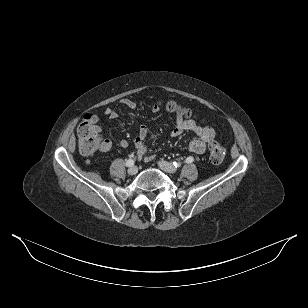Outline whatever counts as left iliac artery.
Returning a JSON list of instances; mask_svg holds the SVG:
<instances>
[{
	"mask_svg": "<svg viewBox=\"0 0 308 308\" xmlns=\"http://www.w3.org/2000/svg\"><path fill=\"white\" fill-rule=\"evenodd\" d=\"M194 161V158L193 157H188L186 160H185V162L186 163H192ZM173 165L175 166V167H180L181 166V163H179V162H173Z\"/></svg>",
	"mask_w": 308,
	"mask_h": 308,
	"instance_id": "left-iliac-artery-1",
	"label": "left iliac artery"
}]
</instances>
